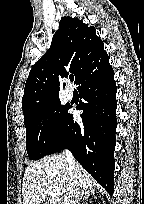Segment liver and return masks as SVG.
Segmentation results:
<instances>
[{
  "label": "liver",
  "mask_w": 144,
  "mask_h": 204,
  "mask_svg": "<svg viewBox=\"0 0 144 204\" xmlns=\"http://www.w3.org/2000/svg\"><path fill=\"white\" fill-rule=\"evenodd\" d=\"M73 180L78 181L82 192L90 191L94 186L90 174L79 164L74 171ZM73 180L70 178L69 164L64 155H52L40 161L32 162L25 169L23 177V204H40L47 193L46 188L50 186L59 189L60 196L65 200L74 189Z\"/></svg>",
  "instance_id": "1"
}]
</instances>
